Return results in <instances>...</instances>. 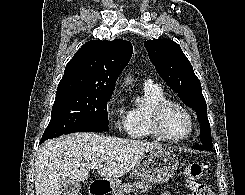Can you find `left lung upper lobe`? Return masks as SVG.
Returning a JSON list of instances; mask_svg holds the SVG:
<instances>
[{
  "mask_svg": "<svg viewBox=\"0 0 245 195\" xmlns=\"http://www.w3.org/2000/svg\"><path fill=\"white\" fill-rule=\"evenodd\" d=\"M144 46L161 78L188 107L196 111L201 144L213 146L201 84L180 46L170 39L148 40Z\"/></svg>",
  "mask_w": 245,
  "mask_h": 195,
  "instance_id": "left-lung-upper-lobe-1",
  "label": "left lung upper lobe"
}]
</instances>
